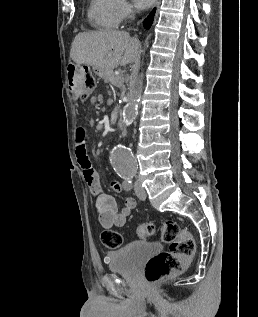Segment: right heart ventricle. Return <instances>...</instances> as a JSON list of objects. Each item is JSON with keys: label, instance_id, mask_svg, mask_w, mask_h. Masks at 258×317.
<instances>
[{"label": "right heart ventricle", "instance_id": "right-heart-ventricle-1", "mask_svg": "<svg viewBox=\"0 0 258 317\" xmlns=\"http://www.w3.org/2000/svg\"><path fill=\"white\" fill-rule=\"evenodd\" d=\"M119 0H92L89 3L87 16L93 27L98 30H112L119 23Z\"/></svg>", "mask_w": 258, "mask_h": 317}]
</instances>
